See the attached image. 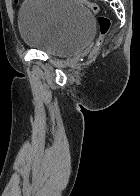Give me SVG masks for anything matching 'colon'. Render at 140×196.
Wrapping results in <instances>:
<instances>
[{"label": "colon", "mask_w": 140, "mask_h": 196, "mask_svg": "<svg viewBox=\"0 0 140 196\" xmlns=\"http://www.w3.org/2000/svg\"><path fill=\"white\" fill-rule=\"evenodd\" d=\"M78 2L86 6L94 13L99 12V6L94 2H91L89 0H78ZM97 23H98L100 37L95 43V47L94 50L92 51V54H94L98 50V48L102 43V38L108 33V31L111 28V20L107 16H99L97 19Z\"/></svg>", "instance_id": "obj_1"}]
</instances>
